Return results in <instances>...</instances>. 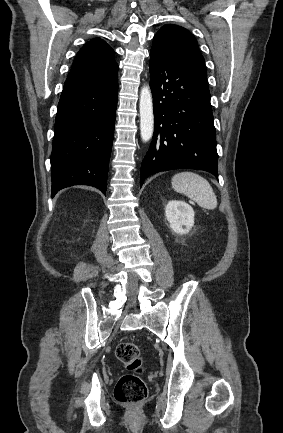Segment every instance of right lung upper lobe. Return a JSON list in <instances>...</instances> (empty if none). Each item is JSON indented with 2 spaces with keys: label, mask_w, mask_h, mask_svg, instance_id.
Instances as JSON below:
<instances>
[{
  "label": "right lung upper lobe",
  "mask_w": 283,
  "mask_h": 433,
  "mask_svg": "<svg viewBox=\"0 0 283 433\" xmlns=\"http://www.w3.org/2000/svg\"><path fill=\"white\" fill-rule=\"evenodd\" d=\"M114 50L102 39L87 42L77 53L63 91L94 86L118 76Z\"/></svg>",
  "instance_id": "1"
}]
</instances>
